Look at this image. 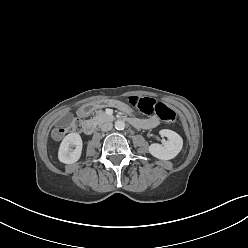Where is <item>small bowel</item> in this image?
I'll use <instances>...</instances> for the list:
<instances>
[{
	"mask_svg": "<svg viewBox=\"0 0 248 248\" xmlns=\"http://www.w3.org/2000/svg\"><path fill=\"white\" fill-rule=\"evenodd\" d=\"M136 120H138L140 124L135 125V126L141 127V128H154L159 124V120L155 116L148 118V119H143V120L136 119Z\"/></svg>",
	"mask_w": 248,
	"mask_h": 248,
	"instance_id": "small-bowel-1",
	"label": "small bowel"
}]
</instances>
